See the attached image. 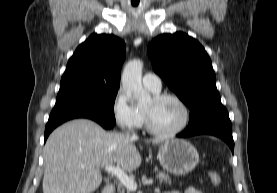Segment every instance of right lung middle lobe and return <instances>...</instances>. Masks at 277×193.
<instances>
[{
  "mask_svg": "<svg viewBox=\"0 0 277 193\" xmlns=\"http://www.w3.org/2000/svg\"><path fill=\"white\" fill-rule=\"evenodd\" d=\"M118 89L81 86L58 92L54 108L78 109L115 122L114 102Z\"/></svg>",
  "mask_w": 277,
  "mask_h": 193,
  "instance_id": "obj_1",
  "label": "right lung middle lobe"
}]
</instances>
